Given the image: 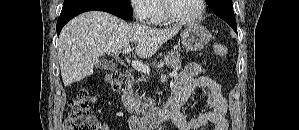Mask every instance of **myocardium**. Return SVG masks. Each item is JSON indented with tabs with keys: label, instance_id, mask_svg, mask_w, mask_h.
<instances>
[{
	"label": "myocardium",
	"instance_id": "1",
	"mask_svg": "<svg viewBox=\"0 0 299 130\" xmlns=\"http://www.w3.org/2000/svg\"><path fill=\"white\" fill-rule=\"evenodd\" d=\"M171 0H163L162 1V9L164 17L167 21L171 23H176L180 25H189L198 22L205 13V1L204 0H197L199 5V11L196 15L188 18H180L173 16L169 11V2Z\"/></svg>",
	"mask_w": 299,
	"mask_h": 130
}]
</instances>
